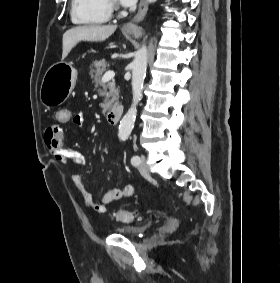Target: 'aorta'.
<instances>
[{"label": "aorta", "mask_w": 280, "mask_h": 283, "mask_svg": "<svg viewBox=\"0 0 280 283\" xmlns=\"http://www.w3.org/2000/svg\"><path fill=\"white\" fill-rule=\"evenodd\" d=\"M149 3H154L157 0H147ZM148 63V50L145 46L139 49L132 62V104L128 112L124 115L119 125L118 137L120 140H126L134 126L137 115V105L142 99V91L146 69Z\"/></svg>", "instance_id": "aorta-1"}]
</instances>
